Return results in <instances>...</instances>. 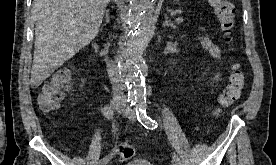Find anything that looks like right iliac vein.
Masks as SVG:
<instances>
[{"label": "right iliac vein", "mask_w": 276, "mask_h": 165, "mask_svg": "<svg viewBox=\"0 0 276 165\" xmlns=\"http://www.w3.org/2000/svg\"><path fill=\"white\" fill-rule=\"evenodd\" d=\"M120 106H121L120 102H118V101L112 102V107H113L114 109L117 110V109L120 108Z\"/></svg>", "instance_id": "63e3f726"}]
</instances>
